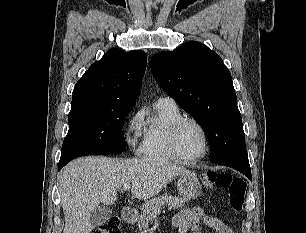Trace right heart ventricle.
<instances>
[{
  "instance_id": "e07e8e85",
  "label": "right heart ventricle",
  "mask_w": 306,
  "mask_h": 233,
  "mask_svg": "<svg viewBox=\"0 0 306 233\" xmlns=\"http://www.w3.org/2000/svg\"><path fill=\"white\" fill-rule=\"evenodd\" d=\"M182 115L176 104L157 101L152 113L143 121L141 153L154 160L178 159L169 144L170 128Z\"/></svg>"
}]
</instances>
